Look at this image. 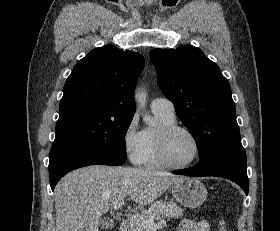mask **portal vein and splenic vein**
<instances>
[{"mask_svg":"<svg viewBox=\"0 0 280 231\" xmlns=\"http://www.w3.org/2000/svg\"><path fill=\"white\" fill-rule=\"evenodd\" d=\"M123 203H124V199H120V201H118V205H123ZM124 215H130L128 219H131V221H134V219L140 221V219H138L139 215H131V213H124ZM142 223H144L143 227H145V231H155L157 227H165V225H167L166 219H160L158 223H154V219H144Z\"/></svg>","mask_w":280,"mask_h":231,"instance_id":"obj_1","label":"portal vein and splenic vein"}]
</instances>
